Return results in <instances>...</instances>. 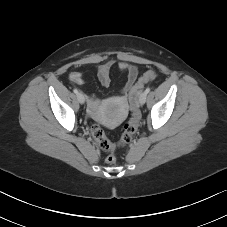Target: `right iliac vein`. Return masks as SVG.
<instances>
[{
	"label": "right iliac vein",
	"instance_id": "63e3f726",
	"mask_svg": "<svg viewBox=\"0 0 227 227\" xmlns=\"http://www.w3.org/2000/svg\"><path fill=\"white\" fill-rule=\"evenodd\" d=\"M77 99H78V101H79L81 104H83V103L85 102V96H84V94H83L82 92L78 93V94H77Z\"/></svg>",
	"mask_w": 227,
	"mask_h": 227
}]
</instances>
